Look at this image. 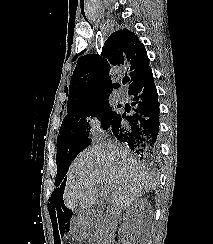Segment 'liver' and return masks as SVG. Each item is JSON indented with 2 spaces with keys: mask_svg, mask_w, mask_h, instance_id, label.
Masks as SVG:
<instances>
[{
  "mask_svg": "<svg viewBox=\"0 0 213 244\" xmlns=\"http://www.w3.org/2000/svg\"><path fill=\"white\" fill-rule=\"evenodd\" d=\"M155 177L127 150L111 143H100L82 151L70 166L63 194L66 207L90 211L99 189L117 217L138 197L151 191Z\"/></svg>",
  "mask_w": 213,
  "mask_h": 244,
  "instance_id": "1",
  "label": "liver"
}]
</instances>
